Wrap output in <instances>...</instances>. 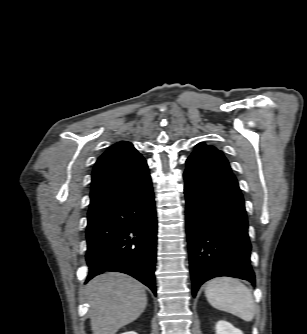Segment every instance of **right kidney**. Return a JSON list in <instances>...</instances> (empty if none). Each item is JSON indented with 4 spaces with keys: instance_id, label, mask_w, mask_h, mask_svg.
I'll use <instances>...</instances> for the list:
<instances>
[{
    "instance_id": "ca27d5eb",
    "label": "right kidney",
    "mask_w": 307,
    "mask_h": 334,
    "mask_svg": "<svg viewBox=\"0 0 307 334\" xmlns=\"http://www.w3.org/2000/svg\"><path fill=\"white\" fill-rule=\"evenodd\" d=\"M121 334H137L136 332L134 331H129V332H124V333H121Z\"/></svg>"
}]
</instances>
